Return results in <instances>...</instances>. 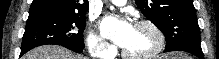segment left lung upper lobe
<instances>
[{
  "label": "left lung upper lobe",
  "mask_w": 219,
  "mask_h": 59,
  "mask_svg": "<svg viewBox=\"0 0 219 59\" xmlns=\"http://www.w3.org/2000/svg\"><path fill=\"white\" fill-rule=\"evenodd\" d=\"M135 4L163 32L165 49L183 40H200L192 0H135Z\"/></svg>",
  "instance_id": "1"
}]
</instances>
